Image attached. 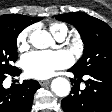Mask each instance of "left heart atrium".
Listing matches in <instances>:
<instances>
[{
  "label": "left heart atrium",
  "mask_w": 112,
  "mask_h": 112,
  "mask_svg": "<svg viewBox=\"0 0 112 112\" xmlns=\"http://www.w3.org/2000/svg\"><path fill=\"white\" fill-rule=\"evenodd\" d=\"M72 63L71 55L65 50L33 51L24 55L21 65L28 77L45 79L55 74L57 70Z\"/></svg>",
  "instance_id": "left-heart-atrium-1"
}]
</instances>
